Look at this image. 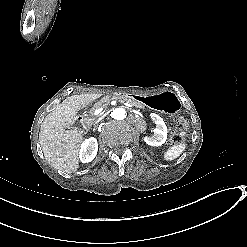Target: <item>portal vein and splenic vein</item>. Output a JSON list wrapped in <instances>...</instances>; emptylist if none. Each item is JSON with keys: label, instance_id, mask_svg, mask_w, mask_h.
<instances>
[{"label": "portal vein and splenic vein", "instance_id": "18ae733b", "mask_svg": "<svg viewBox=\"0 0 247 247\" xmlns=\"http://www.w3.org/2000/svg\"><path fill=\"white\" fill-rule=\"evenodd\" d=\"M125 106H128L130 108H134V105L130 104V103H125ZM104 109H105V106H101V107H98L94 110V114L96 116H99L101 115L103 112H104Z\"/></svg>", "mask_w": 247, "mask_h": 247}]
</instances>
